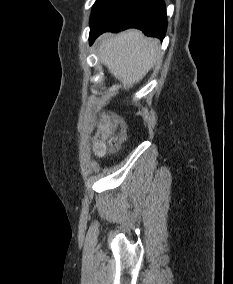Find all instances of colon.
<instances>
[{
	"instance_id": "5ec220e1",
	"label": "colon",
	"mask_w": 233,
	"mask_h": 284,
	"mask_svg": "<svg viewBox=\"0 0 233 284\" xmlns=\"http://www.w3.org/2000/svg\"><path fill=\"white\" fill-rule=\"evenodd\" d=\"M114 131V126L107 121L100 126L97 140L94 143V153L97 156H103L108 148L116 146L117 139Z\"/></svg>"
}]
</instances>
